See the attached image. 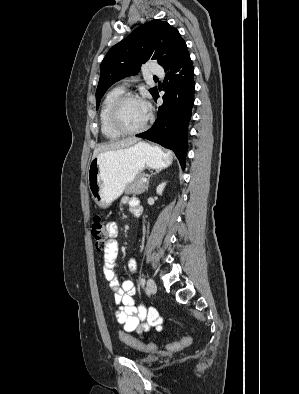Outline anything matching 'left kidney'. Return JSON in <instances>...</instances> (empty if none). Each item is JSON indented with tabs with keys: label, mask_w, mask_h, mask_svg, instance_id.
Here are the masks:
<instances>
[{
	"label": "left kidney",
	"mask_w": 299,
	"mask_h": 394,
	"mask_svg": "<svg viewBox=\"0 0 299 394\" xmlns=\"http://www.w3.org/2000/svg\"><path fill=\"white\" fill-rule=\"evenodd\" d=\"M165 186H166V183H165V182H163V183H161V184H159V185L157 186L156 192H157L158 195H162Z\"/></svg>",
	"instance_id": "obj_1"
}]
</instances>
